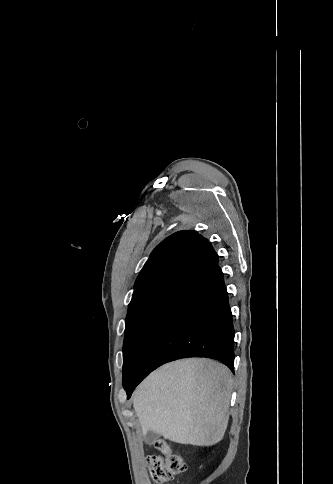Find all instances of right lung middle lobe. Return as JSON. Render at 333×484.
Wrapping results in <instances>:
<instances>
[{
  "label": "right lung middle lobe",
  "instance_id": "obj_1",
  "mask_svg": "<svg viewBox=\"0 0 333 484\" xmlns=\"http://www.w3.org/2000/svg\"><path fill=\"white\" fill-rule=\"evenodd\" d=\"M168 294L160 295L128 311L123 345V386L127 384L137 349L152 315Z\"/></svg>",
  "mask_w": 333,
  "mask_h": 484
}]
</instances>
